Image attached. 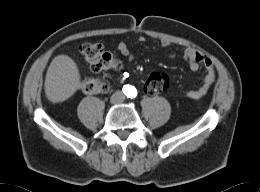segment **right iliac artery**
I'll use <instances>...</instances> for the list:
<instances>
[{
    "instance_id": "obj_1",
    "label": "right iliac artery",
    "mask_w": 260,
    "mask_h": 192,
    "mask_svg": "<svg viewBox=\"0 0 260 192\" xmlns=\"http://www.w3.org/2000/svg\"><path fill=\"white\" fill-rule=\"evenodd\" d=\"M123 92L126 93V94H128V93L130 92V87L127 86V85H125V86L123 87Z\"/></svg>"
}]
</instances>
